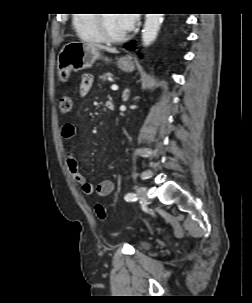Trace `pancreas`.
I'll list each match as a JSON object with an SVG mask.
<instances>
[{
	"mask_svg": "<svg viewBox=\"0 0 252 303\" xmlns=\"http://www.w3.org/2000/svg\"><path fill=\"white\" fill-rule=\"evenodd\" d=\"M111 77H112V74H110V73H104V74H102V75L99 76V79L101 81H107Z\"/></svg>",
	"mask_w": 252,
	"mask_h": 303,
	"instance_id": "cf45deb5",
	"label": "pancreas"
}]
</instances>
